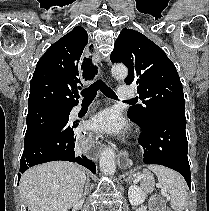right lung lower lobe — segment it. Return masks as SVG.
<instances>
[{
	"label": "right lung lower lobe",
	"instance_id": "right-lung-lower-lobe-1",
	"mask_svg": "<svg viewBox=\"0 0 209 211\" xmlns=\"http://www.w3.org/2000/svg\"><path fill=\"white\" fill-rule=\"evenodd\" d=\"M78 125L79 121H70L67 118L24 146L18 180L29 167L55 160L77 162L96 173L95 164L74 150L76 140L74 129Z\"/></svg>",
	"mask_w": 209,
	"mask_h": 211
}]
</instances>
